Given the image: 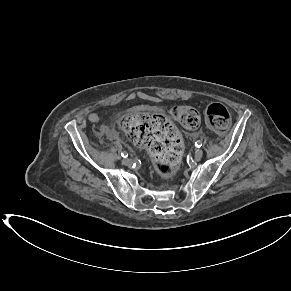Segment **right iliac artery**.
I'll use <instances>...</instances> for the list:
<instances>
[{"label":"right iliac artery","mask_w":291,"mask_h":291,"mask_svg":"<svg viewBox=\"0 0 291 291\" xmlns=\"http://www.w3.org/2000/svg\"><path fill=\"white\" fill-rule=\"evenodd\" d=\"M121 156L124 157V158H126V157L128 156V154H127L126 151H123V152L121 153Z\"/></svg>","instance_id":"1"}]
</instances>
